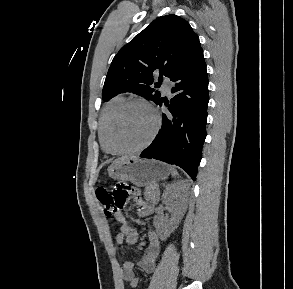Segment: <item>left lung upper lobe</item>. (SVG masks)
I'll return each mask as SVG.
<instances>
[{
  "label": "left lung upper lobe",
  "mask_w": 293,
  "mask_h": 289,
  "mask_svg": "<svg viewBox=\"0 0 293 289\" xmlns=\"http://www.w3.org/2000/svg\"><path fill=\"white\" fill-rule=\"evenodd\" d=\"M202 51L199 37L186 20L174 14L159 17L116 54L104 83L103 100L133 92L157 104L161 94L150 87L153 72L159 71L160 82L163 75L171 78Z\"/></svg>",
  "instance_id": "left-lung-upper-lobe-1"
}]
</instances>
